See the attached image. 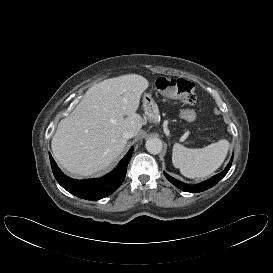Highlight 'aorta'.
Segmentation results:
<instances>
[{"mask_svg": "<svg viewBox=\"0 0 273 273\" xmlns=\"http://www.w3.org/2000/svg\"><path fill=\"white\" fill-rule=\"evenodd\" d=\"M146 149L151 154H159L163 149V143L159 138H150L146 141Z\"/></svg>", "mask_w": 273, "mask_h": 273, "instance_id": "762f6f07", "label": "aorta"}]
</instances>
